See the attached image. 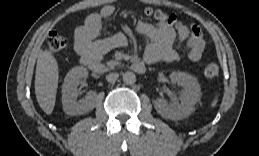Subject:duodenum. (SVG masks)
<instances>
[{
	"label": "duodenum",
	"mask_w": 259,
	"mask_h": 156,
	"mask_svg": "<svg viewBox=\"0 0 259 156\" xmlns=\"http://www.w3.org/2000/svg\"><path fill=\"white\" fill-rule=\"evenodd\" d=\"M82 61L89 69L96 73L101 74L107 70V67L94 57L86 55L82 57ZM131 69L138 74H143L146 71V65L144 62L138 61L131 65Z\"/></svg>",
	"instance_id": "1"
}]
</instances>
